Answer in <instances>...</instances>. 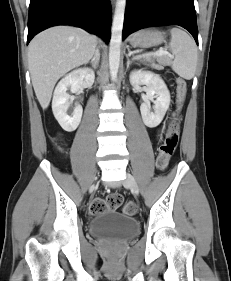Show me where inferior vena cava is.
Listing matches in <instances>:
<instances>
[{"label":"inferior vena cava","instance_id":"1","mask_svg":"<svg viewBox=\"0 0 231 281\" xmlns=\"http://www.w3.org/2000/svg\"><path fill=\"white\" fill-rule=\"evenodd\" d=\"M96 56L99 58V51H98V50H96V52H95V57H96ZM95 57H94V58H95Z\"/></svg>","mask_w":231,"mask_h":281}]
</instances>
